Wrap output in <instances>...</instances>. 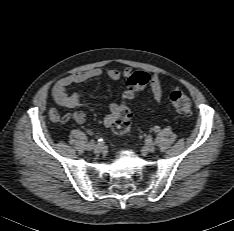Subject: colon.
<instances>
[{
  "mask_svg": "<svg viewBox=\"0 0 234 231\" xmlns=\"http://www.w3.org/2000/svg\"><path fill=\"white\" fill-rule=\"evenodd\" d=\"M148 81V74L141 71L135 72L128 78L127 88L123 94V102L113 126L116 132L126 133L129 131L132 123V112L129 104L134 99L135 94L145 88ZM170 101L177 112L185 115L190 113L191 101L184 92L180 90L172 91Z\"/></svg>",
  "mask_w": 234,
  "mask_h": 231,
  "instance_id": "obj_1",
  "label": "colon"
}]
</instances>
